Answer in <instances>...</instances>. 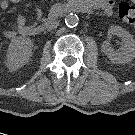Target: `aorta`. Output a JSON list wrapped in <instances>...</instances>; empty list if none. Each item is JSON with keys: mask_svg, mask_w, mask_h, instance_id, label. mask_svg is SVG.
I'll return each instance as SVG.
<instances>
[{"mask_svg": "<svg viewBox=\"0 0 135 135\" xmlns=\"http://www.w3.org/2000/svg\"><path fill=\"white\" fill-rule=\"evenodd\" d=\"M65 23L68 27H76L79 23V17L76 14L70 13L66 16Z\"/></svg>", "mask_w": 135, "mask_h": 135, "instance_id": "1", "label": "aorta"}]
</instances>
